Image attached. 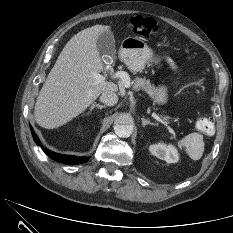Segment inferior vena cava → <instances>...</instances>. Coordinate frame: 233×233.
I'll use <instances>...</instances> for the list:
<instances>
[{"mask_svg":"<svg viewBox=\"0 0 233 233\" xmlns=\"http://www.w3.org/2000/svg\"><path fill=\"white\" fill-rule=\"evenodd\" d=\"M100 101L107 106H114L118 102V96L113 91H105L101 94Z\"/></svg>","mask_w":233,"mask_h":233,"instance_id":"602c4592","label":"inferior vena cava"}]
</instances>
